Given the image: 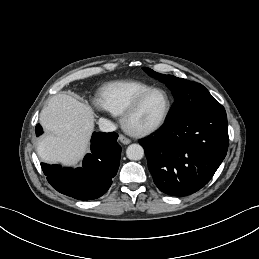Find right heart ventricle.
Listing matches in <instances>:
<instances>
[{
  "label": "right heart ventricle",
  "instance_id": "e07e8e85",
  "mask_svg": "<svg viewBox=\"0 0 259 259\" xmlns=\"http://www.w3.org/2000/svg\"><path fill=\"white\" fill-rule=\"evenodd\" d=\"M152 87L139 81H116L107 84L100 93V103L110 113L121 116L127 107Z\"/></svg>",
  "mask_w": 259,
  "mask_h": 259
}]
</instances>
